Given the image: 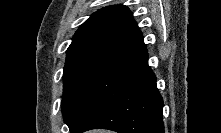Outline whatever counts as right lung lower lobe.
<instances>
[{
    "instance_id": "right-lung-lower-lobe-1",
    "label": "right lung lower lobe",
    "mask_w": 221,
    "mask_h": 133,
    "mask_svg": "<svg viewBox=\"0 0 221 133\" xmlns=\"http://www.w3.org/2000/svg\"><path fill=\"white\" fill-rule=\"evenodd\" d=\"M163 99L147 51L104 71L93 83L71 133L109 129L118 133H164Z\"/></svg>"
}]
</instances>
